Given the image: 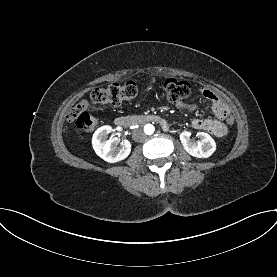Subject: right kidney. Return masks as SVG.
Returning a JSON list of instances; mask_svg holds the SVG:
<instances>
[{"mask_svg":"<svg viewBox=\"0 0 277 277\" xmlns=\"http://www.w3.org/2000/svg\"><path fill=\"white\" fill-rule=\"evenodd\" d=\"M114 131L111 126L105 125L98 128L93 134L92 145L96 154L109 163H115L128 157L131 152V143L125 140L117 147L118 138L112 134L107 139L108 134Z\"/></svg>","mask_w":277,"mask_h":277,"instance_id":"ca27d5eb","label":"right kidney"}]
</instances>
